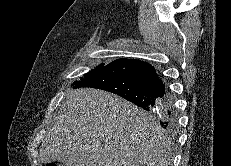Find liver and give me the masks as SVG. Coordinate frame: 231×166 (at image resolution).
<instances>
[{
  "label": "liver",
  "instance_id": "liver-1",
  "mask_svg": "<svg viewBox=\"0 0 231 166\" xmlns=\"http://www.w3.org/2000/svg\"><path fill=\"white\" fill-rule=\"evenodd\" d=\"M40 160L62 166H169L171 145L145 111L112 93L82 88L66 95Z\"/></svg>",
  "mask_w": 231,
  "mask_h": 166
}]
</instances>
